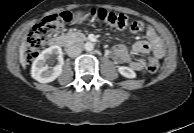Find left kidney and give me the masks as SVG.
Instances as JSON below:
<instances>
[{
	"instance_id": "1",
	"label": "left kidney",
	"mask_w": 194,
	"mask_h": 133,
	"mask_svg": "<svg viewBox=\"0 0 194 133\" xmlns=\"http://www.w3.org/2000/svg\"><path fill=\"white\" fill-rule=\"evenodd\" d=\"M119 73L126 77V78H135L136 77V73L129 67L126 66H120L118 68Z\"/></svg>"
}]
</instances>
